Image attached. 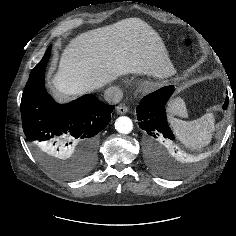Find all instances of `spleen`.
Here are the masks:
<instances>
[{"instance_id":"3e777b00","label":"spleen","mask_w":236,"mask_h":236,"mask_svg":"<svg viewBox=\"0 0 236 236\" xmlns=\"http://www.w3.org/2000/svg\"><path fill=\"white\" fill-rule=\"evenodd\" d=\"M169 123L177 139L191 149H201L208 145L215 129V120L212 113H207L192 121L169 117Z\"/></svg>"}]
</instances>
